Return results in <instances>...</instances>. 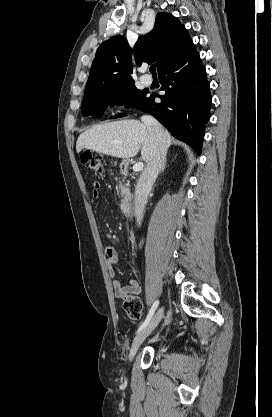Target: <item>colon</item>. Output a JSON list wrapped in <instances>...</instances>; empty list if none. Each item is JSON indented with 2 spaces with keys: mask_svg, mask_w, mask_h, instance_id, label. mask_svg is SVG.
I'll return each instance as SVG.
<instances>
[{
  "mask_svg": "<svg viewBox=\"0 0 272 417\" xmlns=\"http://www.w3.org/2000/svg\"><path fill=\"white\" fill-rule=\"evenodd\" d=\"M81 162L85 167L95 174H102L104 171V159L101 154L86 150L81 154ZM123 307L127 316L132 320H138L142 315V303L134 295H127L123 299Z\"/></svg>",
  "mask_w": 272,
  "mask_h": 417,
  "instance_id": "1",
  "label": "colon"
}]
</instances>
